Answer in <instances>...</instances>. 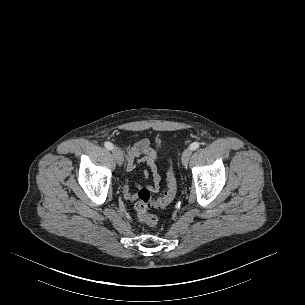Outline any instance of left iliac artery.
<instances>
[{
    "label": "left iliac artery",
    "instance_id": "obj_1",
    "mask_svg": "<svg viewBox=\"0 0 305 305\" xmlns=\"http://www.w3.org/2000/svg\"><path fill=\"white\" fill-rule=\"evenodd\" d=\"M199 142H193L191 145H190V149L191 150H196L197 148H199Z\"/></svg>",
    "mask_w": 305,
    "mask_h": 305
}]
</instances>
